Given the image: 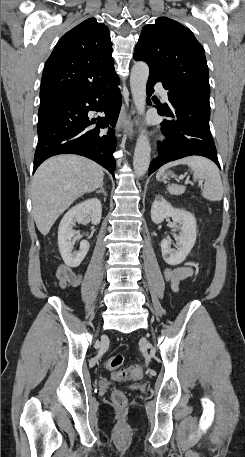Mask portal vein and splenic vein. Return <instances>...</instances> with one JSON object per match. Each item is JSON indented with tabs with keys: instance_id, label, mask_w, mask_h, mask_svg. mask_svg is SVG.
<instances>
[{
	"instance_id": "portal-vein-and-splenic-vein-1",
	"label": "portal vein and splenic vein",
	"mask_w": 245,
	"mask_h": 457,
	"mask_svg": "<svg viewBox=\"0 0 245 457\" xmlns=\"http://www.w3.org/2000/svg\"><path fill=\"white\" fill-rule=\"evenodd\" d=\"M182 178H183V176H182ZM202 182H203V180H199V184H202Z\"/></svg>"
}]
</instances>
